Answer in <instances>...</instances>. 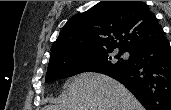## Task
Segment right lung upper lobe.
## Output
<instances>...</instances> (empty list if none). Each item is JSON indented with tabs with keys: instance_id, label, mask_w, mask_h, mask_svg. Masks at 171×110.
I'll use <instances>...</instances> for the list:
<instances>
[{
	"instance_id": "1",
	"label": "right lung upper lobe",
	"mask_w": 171,
	"mask_h": 110,
	"mask_svg": "<svg viewBox=\"0 0 171 110\" xmlns=\"http://www.w3.org/2000/svg\"><path fill=\"white\" fill-rule=\"evenodd\" d=\"M163 37L162 27L144 2L101 1L64 25L51 47L50 60L117 46L134 52Z\"/></svg>"
}]
</instances>
